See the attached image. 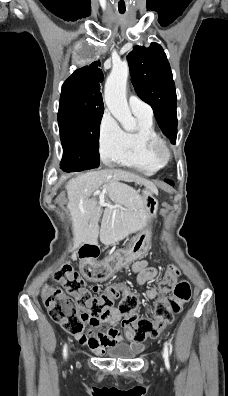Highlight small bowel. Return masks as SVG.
Masks as SVG:
<instances>
[{"label": "small bowel", "instance_id": "obj_1", "mask_svg": "<svg viewBox=\"0 0 228 396\" xmlns=\"http://www.w3.org/2000/svg\"><path fill=\"white\" fill-rule=\"evenodd\" d=\"M133 261L132 253L120 251L100 263L84 262L81 265L82 272L88 277L104 278ZM132 272L135 275L139 285H145L153 280L157 275V270L151 266L147 260H137L132 263ZM94 292H99L98 286H93ZM159 290L156 287L149 288L144 296L153 299L157 296ZM111 315L115 321L121 318L118 310L112 309ZM75 338L80 344L86 345L91 351L102 354L106 347L119 343H129L136 351L140 352L143 345L135 339L134 331L131 328H119L115 325L103 330H87L76 334Z\"/></svg>", "mask_w": 228, "mask_h": 396}]
</instances>
